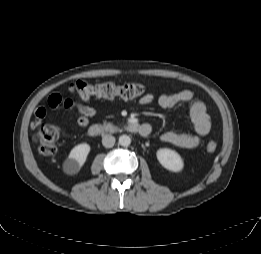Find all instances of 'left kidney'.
I'll use <instances>...</instances> for the list:
<instances>
[{
	"instance_id": "1",
	"label": "left kidney",
	"mask_w": 261,
	"mask_h": 254,
	"mask_svg": "<svg viewBox=\"0 0 261 254\" xmlns=\"http://www.w3.org/2000/svg\"><path fill=\"white\" fill-rule=\"evenodd\" d=\"M159 163L167 170L180 172L183 169L184 163L181 156L171 149H159L156 153Z\"/></svg>"
}]
</instances>
